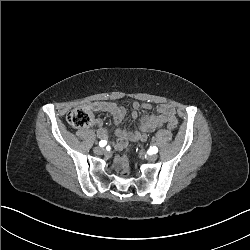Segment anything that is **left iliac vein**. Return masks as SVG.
Masks as SVG:
<instances>
[{
  "label": "left iliac vein",
  "instance_id": "left-iliac-vein-1",
  "mask_svg": "<svg viewBox=\"0 0 250 250\" xmlns=\"http://www.w3.org/2000/svg\"><path fill=\"white\" fill-rule=\"evenodd\" d=\"M147 159L149 161H155L157 159V155L156 154H152V155H148L147 156Z\"/></svg>",
  "mask_w": 250,
  "mask_h": 250
}]
</instances>
